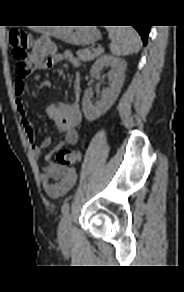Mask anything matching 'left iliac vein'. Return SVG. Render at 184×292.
Masks as SVG:
<instances>
[{"label": "left iliac vein", "instance_id": "1", "mask_svg": "<svg viewBox=\"0 0 184 292\" xmlns=\"http://www.w3.org/2000/svg\"><path fill=\"white\" fill-rule=\"evenodd\" d=\"M72 232V220L70 215L64 217L59 226V240L61 242L67 240Z\"/></svg>", "mask_w": 184, "mask_h": 292}]
</instances>
